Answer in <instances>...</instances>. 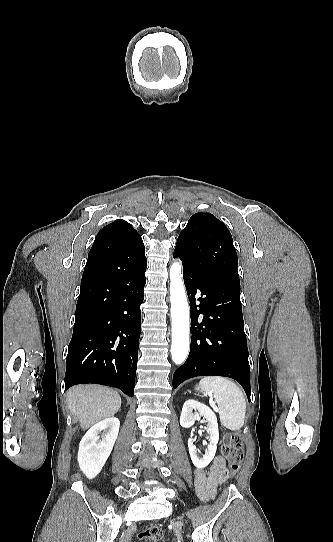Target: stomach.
<instances>
[{"label":"stomach","mask_w":333,"mask_h":542,"mask_svg":"<svg viewBox=\"0 0 333 542\" xmlns=\"http://www.w3.org/2000/svg\"><path fill=\"white\" fill-rule=\"evenodd\" d=\"M195 390H196V392H202V390H200L199 386H196Z\"/></svg>","instance_id":"obj_1"}]
</instances>
